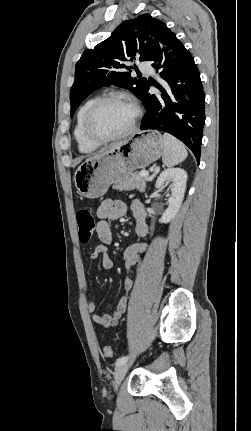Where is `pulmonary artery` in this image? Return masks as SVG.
Listing matches in <instances>:
<instances>
[{
	"mask_svg": "<svg viewBox=\"0 0 251 431\" xmlns=\"http://www.w3.org/2000/svg\"><path fill=\"white\" fill-rule=\"evenodd\" d=\"M139 69L146 74H153V68L149 63H142L139 66Z\"/></svg>",
	"mask_w": 251,
	"mask_h": 431,
	"instance_id": "1",
	"label": "pulmonary artery"
}]
</instances>
